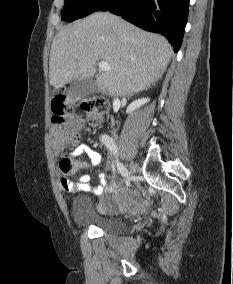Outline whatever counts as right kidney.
Wrapping results in <instances>:
<instances>
[{"label":"right kidney","instance_id":"right-kidney-1","mask_svg":"<svg viewBox=\"0 0 233 284\" xmlns=\"http://www.w3.org/2000/svg\"><path fill=\"white\" fill-rule=\"evenodd\" d=\"M149 101V98H143V99H138L133 101L126 110V113H132L133 111H135L136 109H138L139 107H141L142 105H144L145 103H147Z\"/></svg>","mask_w":233,"mask_h":284}]
</instances>
